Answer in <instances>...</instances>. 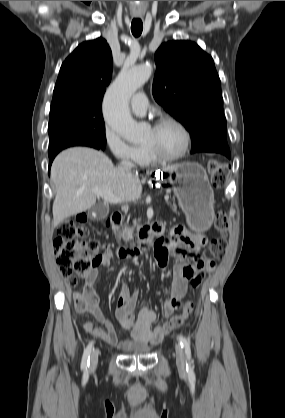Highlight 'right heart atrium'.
I'll list each match as a JSON object with an SVG mask.
<instances>
[{
    "label": "right heart atrium",
    "mask_w": 285,
    "mask_h": 418,
    "mask_svg": "<svg viewBox=\"0 0 285 418\" xmlns=\"http://www.w3.org/2000/svg\"><path fill=\"white\" fill-rule=\"evenodd\" d=\"M103 141L110 153L122 163H132L137 161L138 148L128 143L111 126L106 125Z\"/></svg>",
    "instance_id": "obj_1"
}]
</instances>
